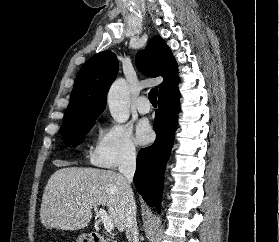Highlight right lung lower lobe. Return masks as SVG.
I'll return each mask as SVG.
<instances>
[{
    "mask_svg": "<svg viewBox=\"0 0 279 242\" xmlns=\"http://www.w3.org/2000/svg\"><path fill=\"white\" fill-rule=\"evenodd\" d=\"M180 93L176 89L159 97L154 129L155 142L139 151L134 184L143 199L160 211L164 171L173 145L177 126Z\"/></svg>",
    "mask_w": 279,
    "mask_h": 242,
    "instance_id": "right-lung-lower-lobe-1",
    "label": "right lung lower lobe"
}]
</instances>
